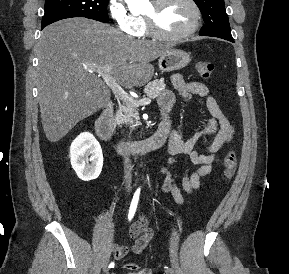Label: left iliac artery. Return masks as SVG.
Instances as JSON below:
<instances>
[{"label":"left iliac artery","mask_w":289,"mask_h":274,"mask_svg":"<svg viewBox=\"0 0 289 274\" xmlns=\"http://www.w3.org/2000/svg\"><path fill=\"white\" fill-rule=\"evenodd\" d=\"M165 269H166L167 271H169V269H170V268H169V267H167V266H165Z\"/></svg>","instance_id":"left-iliac-artery-1"}]
</instances>
